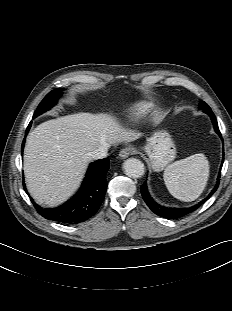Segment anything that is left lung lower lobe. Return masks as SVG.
I'll return each instance as SVG.
<instances>
[{
  "label": "left lung lower lobe",
  "instance_id": "1",
  "mask_svg": "<svg viewBox=\"0 0 232 311\" xmlns=\"http://www.w3.org/2000/svg\"><path fill=\"white\" fill-rule=\"evenodd\" d=\"M203 112H205L206 114H208L210 116L216 133L222 138V135L219 131V127L217 124L216 117H215L214 113L212 112V110L211 109L203 110ZM223 160H224V157L222 159V164L220 166V171H219V175H218L217 183H216L215 187L213 188V190L210 192V194L204 200H202L199 204H197L195 206H192L189 208H167V207L160 206L149 195V193L147 191L146 182L140 187L142 197H143L144 201L146 202V204L148 205V207L158 216H161V217H164L167 219H177V218H180L182 216H185V215L191 213L192 211H194L195 209H197L200 205H202L207 199H209V197H211L215 193V191L217 190L218 185H219V178H220L221 168L223 165Z\"/></svg>",
  "mask_w": 232,
  "mask_h": 311
}]
</instances>
